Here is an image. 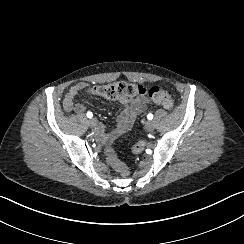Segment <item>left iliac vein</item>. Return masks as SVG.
I'll use <instances>...</instances> for the list:
<instances>
[{
	"instance_id": "1",
	"label": "left iliac vein",
	"mask_w": 244,
	"mask_h": 244,
	"mask_svg": "<svg viewBox=\"0 0 244 244\" xmlns=\"http://www.w3.org/2000/svg\"><path fill=\"white\" fill-rule=\"evenodd\" d=\"M144 128L146 131L152 133L155 129V125L152 121H147L145 124H144Z\"/></svg>"
}]
</instances>
